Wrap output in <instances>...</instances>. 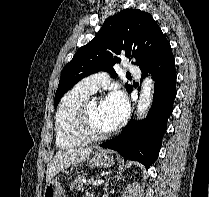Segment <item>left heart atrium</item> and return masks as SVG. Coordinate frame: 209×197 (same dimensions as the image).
<instances>
[{
  "instance_id": "39dd6f15",
  "label": "left heart atrium",
  "mask_w": 209,
  "mask_h": 197,
  "mask_svg": "<svg viewBox=\"0 0 209 197\" xmlns=\"http://www.w3.org/2000/svg\"><path fill=\"white\" fill-rule=\"evenodd\" d=\"M101 109L111 129L118 127L127 117L129 104L122 91H112L102 101Z\"/></svg>"
}]
</instances>
